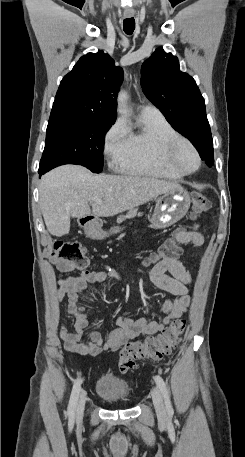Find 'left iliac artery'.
<instances>
[{
    "label": "left iliac artery",
    "mask_w": 245,
    "mask_h": 457,
    "mask_svg": "<svg viewBox=\"0 0 245 457\" xmlns=\"http://www.w3.org/2000/svg\"><path fill=\"white\" fill-rule=\"evenodd\" d=\"M154 379H155V381L157 383V386L160 389V391H161V393H162V395L164 397L167 412H168V414L172 415L173 414V408H172V405H171V402H170L169 393H168V389H167L166 383L164 382L163 378L161 376H159V375H156L154 377Z\"/></svg>",
    "instance_id": "44dca946"
}]
</instances>
